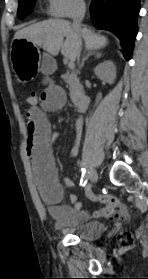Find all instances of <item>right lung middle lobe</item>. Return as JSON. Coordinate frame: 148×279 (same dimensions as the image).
I'll return each instance as SVG.
<instances>
[{
    "mask_svg": "<svg viewBox=\"0 0 148 279\" xmlns=\"http://www.w3.org/2000/svg\"><path fill=\"white\" fill-rule=\"evenodd\" d=\"M36 0H19L17 15L20 19L26 17L33 8Z\"/></svg>",
    "mask_w": 148,
    "mask_h": 279,
    "instance_id": "obj_1",
    "label": "right lung middle lobe"
}]
</instances>
